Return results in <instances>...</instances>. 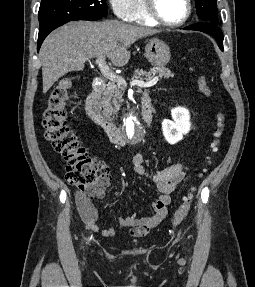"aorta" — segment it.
I'll return each instance as SVG.
<instances>
[{
	"label": "aorta",
	"mask_w": 255,
	"mask_h": 287,
	"mask_svg": "<svg viewBox=\"0 0 255 287\" xmlns=\"http://www.w3.org/2000/svg\"><path fill=\"white\" fill-rule=\"evenodd\" d=\"M126 135L130 142H135L141 137L142 127L136 114H130L125 120Z\"/></svg>",
	"instance_id": "aorta-1"
}]
</instances>
